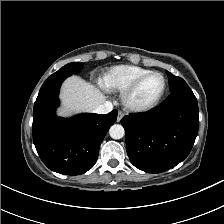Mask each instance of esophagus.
Returning <instances> with one entry per match:
<instances>
[{"mask_svg": "<svg viewBox=\"0 0 224 224\" xmlns=\"http://www.w3.org/2000/svg\"><path fill=\"white\" fill-rule=\"evenodd\" d=\"M123 116H124V113L121 112V111H119V112H118V115H117V122H120L121 119L123 118Z\"/></svg>", "mask_w": 224, "mask_h": 224, "instance_id": "34e87169", "label": "esophagus"}]
</instances>
